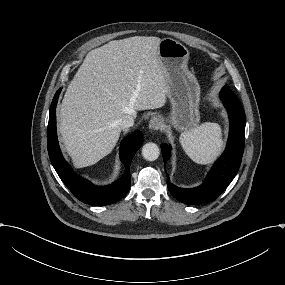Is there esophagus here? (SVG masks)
<instances>
[{
  "label": "esophagus",
  "instance_id": "esophagus-1",
  "mask_svg": "<svg viewBox=\"0 0 285 285\" xmlns=\"http://www.w3.org/2000/svg\"><path fill=\"white\" fill-rule=\"evenodd\" d=\"M162 127V123L158 118H152L149 122V128L153 131L159 130Z\"/></svg>",
  "mask_w": 285,
  "mask_h": 285
}]
</instances>
